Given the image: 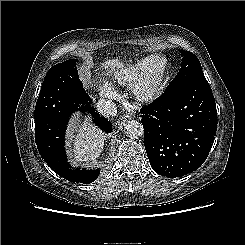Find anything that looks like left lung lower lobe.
<instances>
[{
    "label": "left lung lower lobe",
    "instance_id": "obj_1",
    "mask_svg": "<svg viewBox=\"0 0 245 245\" xmlns=\"http://www.w3.org/2000/svg\"><path fill=\"white\" fill-rule=\"evenodd\" d=\"M141 114L145 149L155 172L181 177L207 159L217 130V111L205 77L166 89Z\"/></svg>",
    "mask_w": 245,
    "mask_h": 245
}]
</instances>
